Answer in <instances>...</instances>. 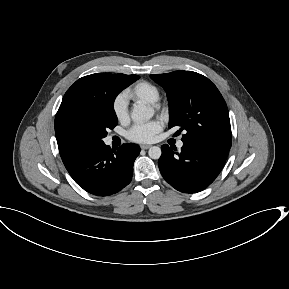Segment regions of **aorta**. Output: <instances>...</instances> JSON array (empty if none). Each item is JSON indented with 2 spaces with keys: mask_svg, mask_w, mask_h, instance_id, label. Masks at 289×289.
I'll return each mask as SVG.
<instances>
[{
  "mask_svg": "<svg viewBox=\"0 0 289 289\" xmlns=\"http://www.w3.org/2000/svg\"><path fill=\"white\" fill-rule=\"evenodd\" d=\"M153 116V110L145 105H136L131 113V118L135 123H142ZM149 157L152 159H159L161 157L162 151L158 146L150 147L148 151Z\"/></svg>",
  "mask_w": 289,
  "mask_h": 289,
  "instance_id": "762f6f07",
  "label": "aorta"
}]
</instances>
